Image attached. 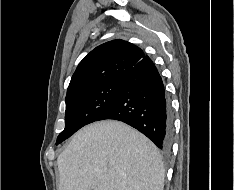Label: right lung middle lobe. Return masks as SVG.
<instances>
[{
    "mask_svg": "<svg viewBox=\"0 0 234 190\" xmlns=\"http://www.w3.org/2000/svg\"><path fill=\"white\" fill-rule=\"evenodd\" d=\"M122 80L104 83L67 97L65 129L57 137L56 145L68 139L83 126L98 121L115 102Z\"/></svg>",
    "mask_w": 234,
    "mask_h": 190,
    "instance_id": "obj_1",
    "label": "right lung middle lobe"
}]
</instances>
